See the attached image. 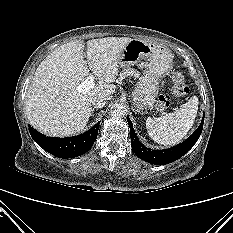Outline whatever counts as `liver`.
<instances>
[{"label":"liver","instance_id":"6515ba94","mask_svg":"<svg viewBox=\"0 0 233 233\" xmlns=\"http://www.w3.org/2000/svg\"><path fill=\"white\" fill-rule=\"evenodd\" d=\"M131 40L127 37L89 40L87 61L83 57L82 40L61 45L48 55L36 69L26 94L25 111L31 126L54 137L81 132L92 115V99L103 96L109 100L114 94L119 56ZM89 69L99 81L92 89L79 92L77 86L85 81Z\"/></svg>","mask_w":233,"mask_h":233}]
</instances>
